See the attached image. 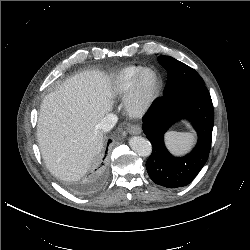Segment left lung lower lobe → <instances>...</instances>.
I'll return each instance as SVG.
<instances>
[{"label": "left lung lower lobe", "mask_w": 250, "mask_h": 250, "mask_svg": "<svg viewBox=\"0 0 250 250\" xmlns=\"http://www.w3.org/2000/svg\"><path fill=\"white\" fill-rule=\"evenodd\" d=\"M187 118L198 134L194 149L184 157H174L164 144L169 127ZM143 131L153 150L146 162L150 178L158 185L178 188L188 185L205 165L214 125L213 105L205 86H196L158 97L142 118Z\"/></svg>", "instance_id": "1"}]
</instances>
